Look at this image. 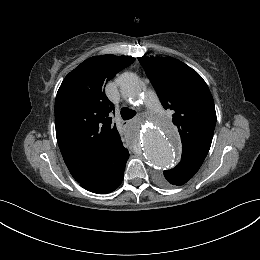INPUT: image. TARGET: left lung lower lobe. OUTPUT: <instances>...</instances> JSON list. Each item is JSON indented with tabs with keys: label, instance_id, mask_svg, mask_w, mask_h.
I'll list each match as a JSON object with an SVG mask.
<instances>
[{
	"label": "left lung lower lobe",
	"instance_id": "0a47b994",
	"mask_svg": "<svg viewBox=\"0 0 260 260\" xmlns=\"http://www.w3.org/2000/svg\"><path fill=\"white\" fill-rule=\"evenodd\" d=\"M198 169H195L190 166H176L172 170L164 171V176L172 185H183L189 181L196 173Z\"/></svg>",
	"mask_w": 260,
	"mask_h": 260
}]
</instances>
